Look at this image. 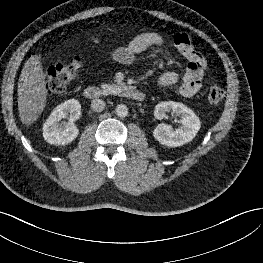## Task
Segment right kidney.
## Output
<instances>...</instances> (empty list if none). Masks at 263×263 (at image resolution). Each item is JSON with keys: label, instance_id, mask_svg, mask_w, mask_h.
<instances>
[{"label": "right kidney", "instance_id": "ca27d5eb", "mask_svg": "<svg viewBox=\"0 0 263 263\" xmlns=\"http://www.w3.org/2000/svg\"><path fill=\"white\" fill-rule=\"evenodd\" d=\"M81 104L76 99H70L58 105L43 124V137L49 144L67 145L75 140L79 129L75 121L80 118ZM69 117L68 122L59 123Z\"/></svg>", "mask_w": 263, "mask_h": 263}]
</instances>
